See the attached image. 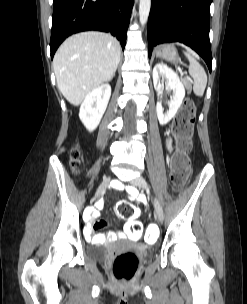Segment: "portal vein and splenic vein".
<instances>
[{
    "label": "portal vein and splenic vein",
    "mask_w": 247,
    "mask_h": 304,
    "mask_svg": "<svg viewBox=\"0 0 247 304\" xmlns=\"http://www.w3.org/2000/svg\"><path fill=\"white\" fill-rule=\"evenodd\" d=\"M184 75V73L183 72H181V76H183Z\"/></svg>",
    "instance_id": "18ae733b"
}]
</instances>
